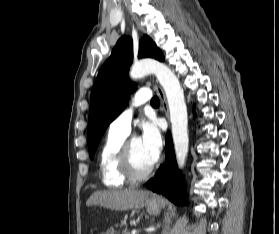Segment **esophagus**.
I'll use <instances>...</instances> for the list:
<instances>
[{"mask_svg":"<svg viewBox=\"0 0 279 234\" xmlns=\"http://www.w3.org/2000/svg\"><path fill=\"white\" fill-rule=\"evenodd\" d=\"M155 87H156L157 93L159 95V98L161 100L162 109L164 110V112L168 116V105H167L165 93H164L163 89L158 84H156ZM154 198H156V197H154Z\"/></svg>","mask_w":279,"mask_h":234,"instance_id":"1","label":"esophagus"}]
</instances>
